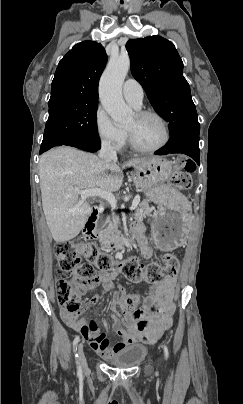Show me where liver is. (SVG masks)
<instances>
[{
  "mask_svg": "<svg viewBox=\"0 0 243 404\" xmlns=\"http://www.w3.org/2000/svg\"><path fill=\"white\" fill-rule=\"evenodd\" d=\"M144 162H148V158H133L126 166ZM105 170H110V176H105ZM39 178L45 220L57 244L76 238L92 212L88 202L79 200V190L101 188L118 192L123 182L116 160L103 162L98 156L67 146L42 154Z\"/></svg>",
  "mask_w": 243,
  "mask_h": 404,
  "instance_id": "liver-1",
  "label": "liver"
}]
</instances>
